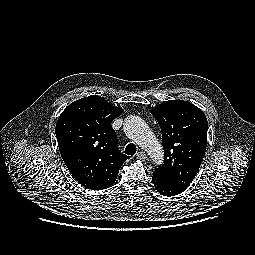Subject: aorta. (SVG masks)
I'll return each mask as SVG.
<instances>
[{"label": "aorta", "instance_id": "obj_1", "mask_svg": "<svg viewBox=\"0 0 255 255\" xmlns=\"http://www.w3.org/2000/svg\"><path fill=\"white\" fill-rule=\"evenodd\" d=\"M124 132L128 138L147 152L154 163L159 164L162 162V146L141 117L135 115L128 116L125 119Z\"/></svg>", "mask_w": 255, "mask_h": 255}]
</instances>
